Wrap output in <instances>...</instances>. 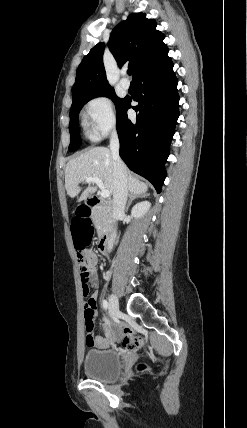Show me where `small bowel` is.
<instances>
[{"mask_svg": "<svg viewBox=\"0 0 247 428\" xmlns=\"http://www.w3.org/2000/svg\"><path fill=\"white\" fill-rule=\"evenodd\" d=\"M86 261L91 266L93 271V279L91 282V287L96 289L98 287V275L95 271V265L97 263L96 254L92 250H87L84 254ZM98 293L95 290L91 296L88 298L87 302L94 307L96 313V303H97ZM104 327L107 328L108 324L105 323ZM122 334L125 335V331H121L120 329L114 333H108L105 337L103 336H93L92 339L86 338V343L88 346L97 347V348H105L108 347L113 342H116L120 339Z\"/></svg>", "mask_w": 247, "mask_h": 428, "instance_id": "obj_1", "label": "small bowel"}]
</instances>
